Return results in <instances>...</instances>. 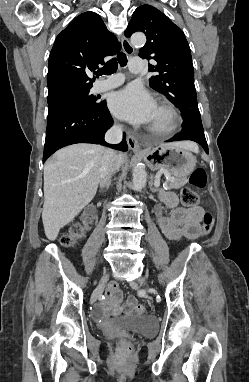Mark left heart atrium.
<instances>
[{
  "mask_svg": "<svg viewBox=\"0 0 249 382\" xmlns=\"http://www.w3.org/2000/svg\"><path fill=\"white\" fill-rule=\"evenodd\" d=\"M109 108L114 115L121 119L144 124L151 120L156 103L146 89L131 84L111 95Z\"/></svg>",
  "mask_w": 249,
  "mask_h": 382,
  "instance_id": "39dd6f15",
  "label": "left heart atrium"
}]
</instances>
